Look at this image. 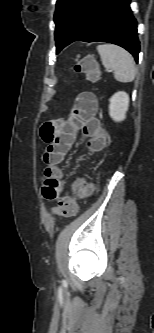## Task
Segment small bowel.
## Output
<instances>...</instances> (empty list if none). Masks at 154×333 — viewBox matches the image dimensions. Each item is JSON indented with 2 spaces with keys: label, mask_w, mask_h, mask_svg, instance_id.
<instances>
[{
  "label": "small bowel",
  "mask_w": 154,
  "mask_h": 333,
  "mask_svg": "<svg viewBox=\"0 0 154 333\" xmlns=\"http://www.w3.org/2000/svg\"><path fill=\"white\" fill-rule=\"evenodd\" d=\"M98 101L88 91L81 92L75 99L72 111L66 119L46 121L40 130L41 138L47 144L44 152L42 195L45 199L59 197L64 181L60 164L72 147L80 130L88 138V149L95 153L102 151L108 144V135L97 118ZM86 186L80 196L88 194Z\"/></svg>",
  "instance_id": "1"
}]
</instances>
